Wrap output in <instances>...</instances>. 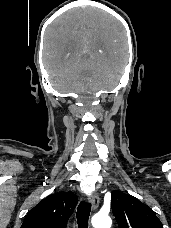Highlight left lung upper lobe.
I'll use <instances>...</instances> for the list:
<instances>
[{
    "label": "left lung upper lobe",
    "mask_w": 171,
    "mask_h": 228,
    "mask_svg": "<svg viewBox=\"0 0 171 228\" xmlns=\"http://www.w3.org/2000/svg\"><path fill=\"white\" fill-rule=\"evenodd\" d=\"M112 210L119 228H163L155 212L137 198L113 191Z\"/></svg>",
    "instance_id": "5c2ea615"
}]
</instances>
